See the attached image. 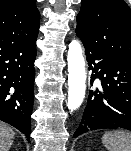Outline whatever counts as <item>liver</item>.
Masks as SVG:
<instances>
[{
	"instance_id": "1",
	"label": "liver",
	"mask_w": 131,
	"mask_h": 151,
	"mask_svg": "<svg viewBox=\"0 0 131 151\" xmlns=\"http://www.w3.org/2000/svg\"><path fill=\"white\" fill-rule=\"evenodd\" d=\"M14 140L13 130L0 122V151H9Z\"/></svg>"
}]
</instances>
